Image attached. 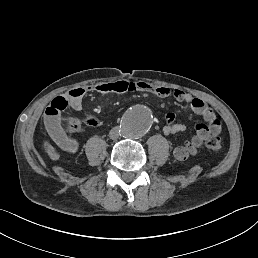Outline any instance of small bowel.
<instances>
[{"label": "small bowel", "mask_w": 258, "mask_h": 258, "mask_svg": "<svg viewBox=\"0 0 258 258\" xmlns=\"http://www.w3.org/2000/svg\"><path fill=\"white\" fill-rule=\"evenodd\" d=\"M134 91L152 93L162 98L173 97L179 102L188 104L195 114L201 116L207 122V124H197L195 126V135L185 141L182 146H178L173 150L174 157L179 161L196 154L197 150L210 134H219L221 131V123L215 112L202 99L180 89H170L165 86H154L144 81L129 80L77 87L70 90L65 95L57 96L46 109L44 117L46 129L53 141L62 150L68 153H76L79 149V144L68 134L67 121L63 116L64 110L67 108L76 111L81 110L83 98L90 92L120 94ZM164 118L165 125L163 126V133L165 135L185 131L186 126L184 124L174 122L175 116L173 113H166ZM83 122L89 127H100L103 124L100 120L90 115H86Z\"/></svg>", "instance_id": "obj_1"}]
</instances>
